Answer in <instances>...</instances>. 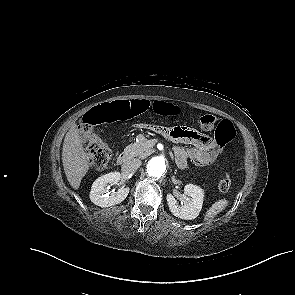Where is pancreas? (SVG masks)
Instances as JSON below:
<instances>
[{
  "label": "pancreas",
  "instance_id": "obj_1",
  "mask_svg": "<svg viewBox=\"0 0 295 295\" xmlns=\"http://www.w3.org/2000/svg\"><path fill=\"white\" fill-rule=\"evenodd\" d=\"M137 142L130 144L125 148L128 157L146 158L153 153V147L143 135H138Z\"/></svg>",
  "mask_w": 295,
  "mask_h": 295
}]
</instances>
